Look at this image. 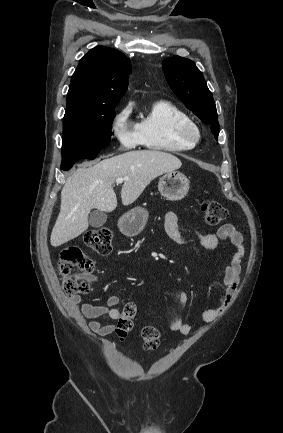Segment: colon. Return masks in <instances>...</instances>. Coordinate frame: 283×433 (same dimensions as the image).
Returning <instances> with one entry per match:
<instances>
[{
	"label": "colon",
	"instance_id": "obj_1",
	"mask_svg": "<svg viewBox=\"0 0 283 433\" xmlns=\"http://www.w3.org/2000/svg\"><path fill=\"white\" fill-rule=\"evenodd\" d=\"M202 217L206 224L215 226L227 218L226 209L215 200H206L201 205ZM86 246L100 255L111 251V234L106 229H95L84 235ZM58 272L62 278L65 293L69 296L85 293L89 289V277L94 269L93 261L80 248L70 246L64 248L59 257ZM137 307L127 303L121 312L116 326V335L120 340L126 338L133 328ZM143 347L148 351H156L160 343L158 329L147 324L141 331Z\"/></svg>",
	"mask_w": 283,
	"mask_h": 433
}]
</instances>
